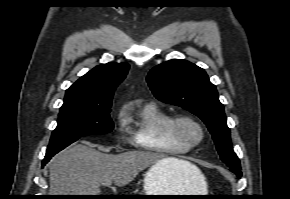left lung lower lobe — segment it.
Masks as SVG:
<instances>
[{
	"instance_id": "1",
	"label": "left lung lower lobe",
	"mask_w": 290,
	"mask_h": 199,
	"mask_svg": "<svg viewBox=\"0 0 290 199\" xmlns=\"http://www.w3.org/2000/svg\"><path fill=\"white\" fill-rule=\"evenodd\" d=\"M230 171H232L233 173H235L238 176V178H240L241 175H242V173L240 171V168H230Z\"/></svg>"
}]
</instances>
